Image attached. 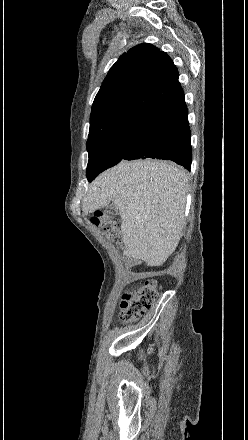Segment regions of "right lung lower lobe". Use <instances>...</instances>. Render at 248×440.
Wrapping results in <instances>:
<instances>
[{
	"label": "right lung lower lobe",
	"instance_id": "right-lung-lower-lobe-1",
	"mask_svg": "<svg viewBox=\"0 0 248 440\" xmlns=\"http://www.w3.org/2000/svg\"><path fill=\"white\" fill-rule=\"evenodd\" d=\"M191 133L184 97L152 112L129 129L122 159L171 160L191 168Z\"/></svg>",
	"mask_w": 248,
	"mask_h": 440
}]
</instances>
